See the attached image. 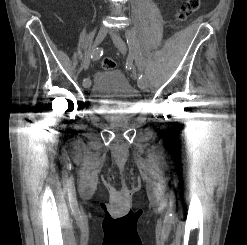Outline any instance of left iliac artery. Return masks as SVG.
<instances>
[{"instance_id": "1", "label": "left iliac artery", "mask_w": 247, "mask_h": 245, "mask_svg": "<svg viewBox=\"0 0 247 245\" xmlns=\"http://www.w3.org/2000/svg\"><path fill=\"white\" fill-rule=\"evenodd\" d=\"M136 31L133 30H128L126 32V38H127V43L130 49V58L135 59V63L140 70L139 73V81L142 82L145 80V77L142 73L143 71V58L140 52V45H139V37H136Z\"/></svg>"}]
</instances>
